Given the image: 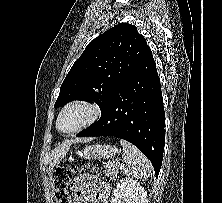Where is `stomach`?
Returning <instances> with one entry per match:
<instances>
[{"label": "stomach", "instance_id": "0dacf381", "mask_svg": "<svg viewBox=\"0 0 222 203\" xmlns=\"http://www.w3.org/2000/svg\"><path fill=\"white\" fill-rule=\"evenodd\" d=\"M118 149L112 145H89L78 152L79 157L85 159L110 158L118 153Z\"/></svg>", "mask_w": 222, "mask_h": 203}]
</instances>
